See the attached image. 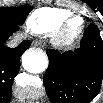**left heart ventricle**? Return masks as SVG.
<instances>
[{
  "mask_svg": "<svg viewBox=\"0 0 103 103\" xmlns=\"http://www.w3.org/2000/svg\"><path fill=\"white\" fill-rule=\"evenodd\" d=\"M79 24H80V21L79 20H75L72 25H73L74 28H76V27L79 26Z\"/></svg>",
  "mask_w": 103,
  "mask_h": 103,
  "instance_id": "obj_1",
  "label": "left heart ventricle"
}]
</instances>
